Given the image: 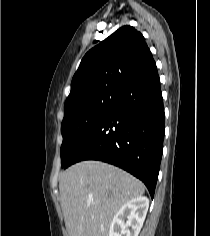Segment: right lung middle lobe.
<instances>
[{
	"instance_id": "dd1d6c3e",
	"label": "right lung middle lobe",
	"mask_w": 210,
	"mask_h": 236,
	"mask_svg": "<svg viewBox=\"0 0 210 236\" xmlns=\"http://www.w3.org/2000/svg\"><path fill=\"white\" fill-rule=\"evenodd\" d=\"M120 92H106L83 100L64 111L61 125V166L64 167L89 132L112 109Z\"/></svg>"
}]
</instances>
